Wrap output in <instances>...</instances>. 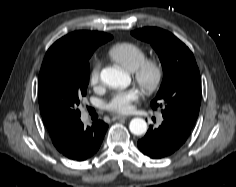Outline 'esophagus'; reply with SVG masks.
I'll return each instance as SVG.
<instances>
[{
	"label": "esophagus",
	"mask_w": 236,
	"mask_h": 187,
	"mask_svg": "<svg viewBox=\"0 0 236 187\" xmlns=\"http://www.w3.org/2000/svg\"><path fill=\"white\" fill-rule=\"evenodd\" d=\"M127 116L115 115L112 117V120H126Z\"/></svg>",
	"instance_id": "obj_1"
}]
</instances>
